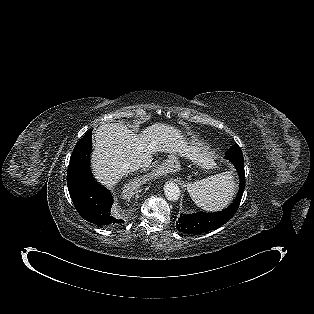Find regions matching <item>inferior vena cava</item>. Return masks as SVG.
Returning <instances> with one entry per match:
<instances>
[{
  "label": "inferior vena cava",
  "mask_w": 314,
  "mask_h": 314,
  "mask_svg": "<svg viewBox=\"0 0 314 314\" xmlns=\"http://www.w3.org/2000/svg\"><path fill=\"white\" fill-rule=\"evenodd\" d=\"M143 166V162L141 160H137L127 165V169L130 171H136Z\"/></svg>",
  "instance_id": "602c4592"
}]
</instances>
